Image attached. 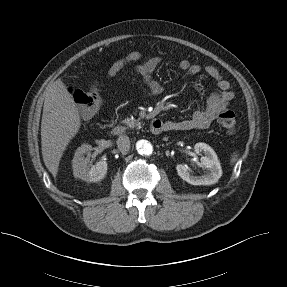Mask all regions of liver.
Returning a JSON list of instances; mask_svg holds the SVG:
<instances>
[{"mask_svg": "<svg viewBox=\"0 0 287 287\" xmlns=\"http://www.w3.org/2000/svg\"><path fill=\"white\" fill-rule=\"evenodd\" d=\"M78 108L61 79L46 91L41 121V149L45 166L55 178L60 160L70 140L78 133Z\"/></svg>", "mask_w": 287, "mask_h": 287, "instance_id": "liver-1", "label": "liver"}]
</instances>
